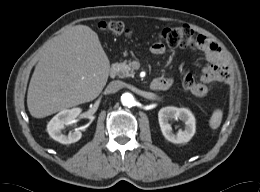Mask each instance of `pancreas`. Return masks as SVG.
Here are the masks:
<instances>
[{"mask_svg":"<svg viewBox=\"0 0 260 192\" xmlns=\"http://www.w3.org/2000/svg\"><path fill=\"white\" fill-rule=\"evenodd\" d=\"M115 67L117 70V76L119 78H126L134 75L131 65L126 63L125 61L122 63H116Z\"/></svg>","mask_w":260,"mask_h":192,"instance_id":"cf45deb5","label":"pancreas"}]
</instances>
